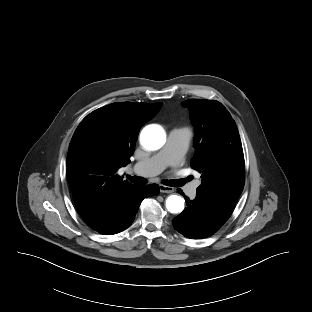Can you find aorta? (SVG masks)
<instances>
[{
	"instance_id": "1",
	"label": "aorta",
	"mask_w": 312,
	"mask_h": 312,
	"mask_svg": "<svg viewBox=\"0 0 312 312\" xmlns=\"http://www.w3.org/2000/svg\"><path fill=\"white\" fill-rule=\"evenodd\" d=\"M140 142L147 150H158L166 142V133L158 125H148L141 132ZM166 208L171 213H180L184 209V199L178 195H170L166 200Z\"/></svg>"
}]
</instances>
